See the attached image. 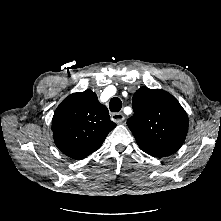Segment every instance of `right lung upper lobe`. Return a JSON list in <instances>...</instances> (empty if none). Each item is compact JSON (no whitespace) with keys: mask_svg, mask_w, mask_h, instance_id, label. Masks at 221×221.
Returning <instances> with one entry per match:
<instances>
[{"mask_svg":"<svg viewBox=\"0 0 221 221\" xmlns=\"http://www.w3.org/2000/svg\"><path fill=\"white\" fill-rule=\"evenodd\" d=\"M115 127L108 109L91 90L69 95L52 119L56 146L73 159H82L95 152Z\"/></svg>","mask_w":221,"mask_h":221,"instance_id":"cb5924a9","label":"right lung upper lobe"}]
</instances>
